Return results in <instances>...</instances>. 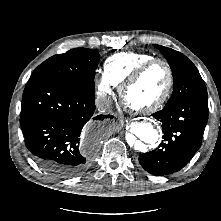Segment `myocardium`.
<instances>
[{"label": "myocardium", "mask_w": 221, "mask_h": 221, "mask_svg": "<svg viewBox=\"0 0 221 221\" xmlns=\"http://www.w3.org/2000/svg\"><path fill=\"white\" fill-rule=\"evenodd\" d=\"M160 64L162 65L168 75V82L166 89L164 93L153 103L144 106V107H137L132 105L128 99H127V93L128 90L136 83L139 81V79L154 65ZM174 88V73L173 70L170 66V64L165 61L164 59L160 58H153L150 59L143 64H141L126 80L125 82L121 85L119 95L122 101L123 106L128 109L129 111L135 113V114H149L156 112L160 108H162L165 103L168 101L170 98Z\"/></svg>", "instance_id": "f54148a6"}]
</instances>
